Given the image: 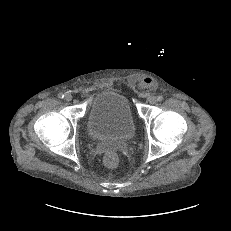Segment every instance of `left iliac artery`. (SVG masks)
<instances>
[{
  "label": "left iliac artery",
  "mask_w": 231,
  "mask_h": 231,
  "mask_svg": "<svg viewBox=\"0 0 231 231\" xmlns=\"http://www.w3.org/2000/svg\"><path fill=\"white\" fill-rule=\"evenodd\" d=\"M162 100H163V96L159 95V96L157 97V101L161 102Z\"/></svg>",
  "instance_id": "obj_1"
}]
</instances>
